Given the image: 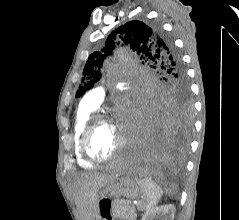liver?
Masks as SVG:
<instances>
[{
  "label": "liver",
  "instance_id": "liver-1",
  "mask_svg": "<svg viewBox=\"0 0 239 220\" xmlns=\"http://www.w3.org/2000/svg\"><path fill=\"white\" fill-rule=\"evenodd\" d=\"M116 171H119L115 167ZM115 174H82L74 181V199L82 220H94L98 214V191L107 185Z\"/></svg>",
  "mask_w": 239,
  "mask_h": 220
}]
</instances>
